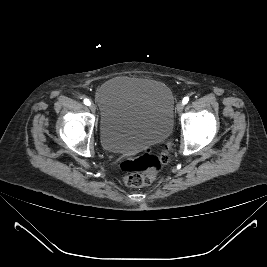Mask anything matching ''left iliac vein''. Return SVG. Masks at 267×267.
I'll return each instance as SVG.
<instances>
[{
  "instance_id": "obj_1",
  "label": "left iliac vein",
  "mask_w": 267,
  "mask_h": 267,
  "mask_svg": "<svg viewBox=\"0 0 267 267\" xmlns=\"http://www.w3.org/2000/svg\"><path fill=\"white\" fill-rule=\"evenodd\" d=\"M183 108H184L183 102H178L177 105H176L177 113H181L183 111Z\"/></svg>"
}]
</instances>
